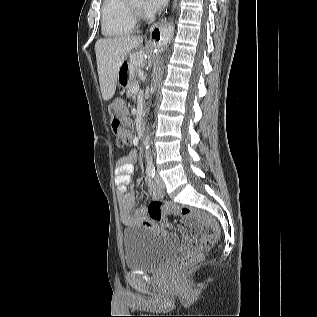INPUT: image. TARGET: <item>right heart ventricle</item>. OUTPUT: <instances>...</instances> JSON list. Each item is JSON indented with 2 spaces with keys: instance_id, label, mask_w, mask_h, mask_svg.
Segmentation results:
<instances>
[{
  "instance_id": "right-heart-ventricle-1",
  "label": "right heart ventricle",
  "mask_w": 317,
  "mask_h": 317,
  "mask_svg": "<svg viewBox=\"0 0 317 317\" xmlns=\"http://www.w3.org/2000/svg\"><path fill=\"white\" fill-rule=\"evenodd\" d=\"M137 21L128 0H104L101 7V30L108 38L132 33Z\"/></svg>"
}]
</instances>
